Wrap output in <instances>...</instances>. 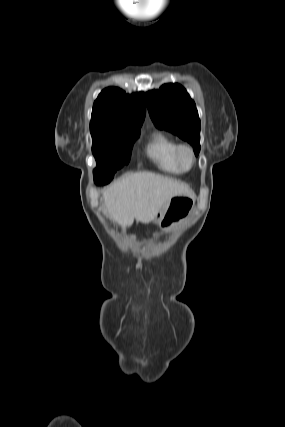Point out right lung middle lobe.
Returning <instances> with one entry per match:
<instances>
[{
  "label": "right lung middle lobe",
  "instance_id": "obj_1",
  "mask_svg": "<svg viewBox=\"0 0 285 427\" xmlns=\"http://www.w3.org/2000/svg\"><path fill=\"white\" fill-rule=\"evenodd\" d=\"M92 152L97 162L94 181L103 185L109 183L115 172L128 164L133 143L140 135V127L90 128Z\"/></svg>",
  "mask_w": 285,
  "mask_h": 427
}]
</instances>
